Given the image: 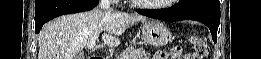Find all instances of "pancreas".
I'll return each instance as SVG.
<instances>
[{"label": "pancreas", "mask_w": 261, "mask_h": 59, "mask_svg": "<svg viewBox=\"0 0 261 59\" xmlns=\"http://www.w3.org/2000/svg\"><path fill=\"white\" fill-rule=\"evenodd\" d=\"M117 59H150V54L143 48L129 47Z\"/></svg>", "instance_id": "1"}]
</instances>
